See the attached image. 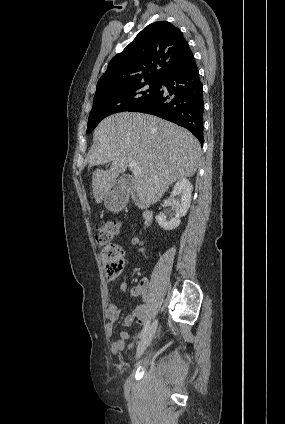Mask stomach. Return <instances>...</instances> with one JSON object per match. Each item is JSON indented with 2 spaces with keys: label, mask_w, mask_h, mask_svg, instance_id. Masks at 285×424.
I'll return each mask as SVG.
<instances>
[{
  "label": "stomach",
  "mask_w": 285,
  "mask_h": 424,
  "mask_svg": "<svg viewBox=\"0 0 285 424\" xmlns=\"http://www.w3.org/2000/svg\"><path fill=\"white\" fill-rule=\"evenodd\" d=\"M105 206L110 211H116L120 208L121 204L118 202V197L114 196L112 192H109L105 196Z\"/></svg>",
  "instance_id": "stomach-1"
}]
</instances>
